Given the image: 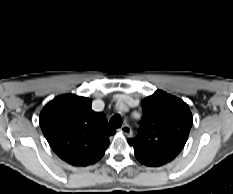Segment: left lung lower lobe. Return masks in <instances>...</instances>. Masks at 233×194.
<instances>
[{"label": "left lung lower lobe", "instance_id": "0a47b994", "mask_svg": "<svg viewBox=\"0 0 233 194\" xmlns=\"http://www.w3.org/2000/svg\"><path fill=\"white\" fill-rule=\"evenodd\" d=\"M141 163L144 164V165H147V166H153V167L159 166V165H156L154 163H150V162H146V161H142Z\"/></svg>", "mask_w": 233, "mask_h": 194}]
</instances>
